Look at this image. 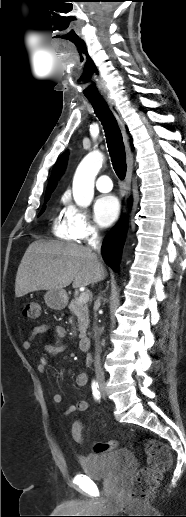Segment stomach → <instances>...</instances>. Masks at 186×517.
<instances>
[{
	"instance_id": "stomach-1",
	"label": "stomach",
	"mask_w": 186,
	"mask_h": 517,
	"mask_svg": "<svg viewBox=\"0 0 186 517\" xmlns=\"http://www.w3.org/2000/svg\"><path fill=\"white\" fill-rule=\"evenodd\" d=\"M44 300L48 307L61 310L67 305L68 295L64 289L48 290L44 296Z\"/></svg>"
}]
</instances>
